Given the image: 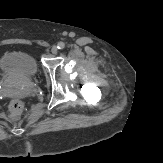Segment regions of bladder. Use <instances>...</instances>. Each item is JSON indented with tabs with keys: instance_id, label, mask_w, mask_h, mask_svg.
I'll return each mask as SVG.
<instances>
[{
	"instance_id": "obj_1",
	"label": "bladder",
	"mask_w": 163,
	"mask_h": 163,
	"mask_svg": "<svg viewBox=\"0 0 163 163\" xmlns=\"http://www.w3.org/2000/svg\"><path fill=\"white\" fill-rule=\"evenodd\" d=\"M0 72L6 76L31 79L39 72L35 57L24 51H9L0 58Z\"/></svg>"
}]
</instances>
